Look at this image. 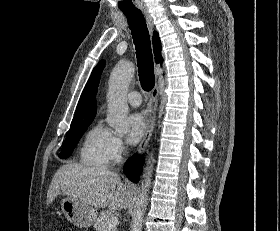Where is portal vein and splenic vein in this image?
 <instances>
[{"label": "portal vein and splenic vein", "instance_id": "obj_1", "mask_svg": "<svg viewBox=\"0 0 280 231\" xmlns=\"http://www.w3.org/2000/svg\"><path fill=\"white\" fill-rule=\"evenodd\" d=\"M117 223H119L118 221V217H110V219H107L104 227H105V231H109V229H111V227H115V225H117Z\"/></svg>", "mask_w": 280, "mask_h": 231}]
</instances>
